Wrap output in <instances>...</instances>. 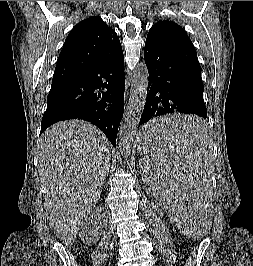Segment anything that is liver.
Wrapping results in <instances>:
<instances>
[{"instance_id":"liver-1","label":"liver","mask_w":253,"mask_h":266,"mask_svg":"<svg viewBox=\"0 0 253 266\" xmlns=\"http://www.w3.org/2000/svg\"><path fill=\"white\" fill-rule=\"evenodd\" d=\"M39 156L49 225L58 239L71 245L100 198L110 166V143L90 123L64 121L44 132Z\"/></svg>"}]
</instances>
